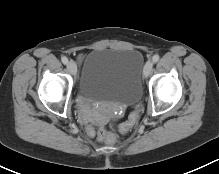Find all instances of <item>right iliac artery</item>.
<instances>
[{"label":"right iliac artery","instance_id":"82829eb1","mask_svg":"<svg viewBox=\"0 0 219 174\" xmlns=\"http://www.w3.org/2000/svg\"><path fill=\"white\" fill-rule=\"evenodd\" d=\"M61 61H62V63H64V64H67V63H68V59H67V57H65V56H63V57L61 58Z\"/></svg>","mask_w":219,"mask_h":174}]
</instances>
